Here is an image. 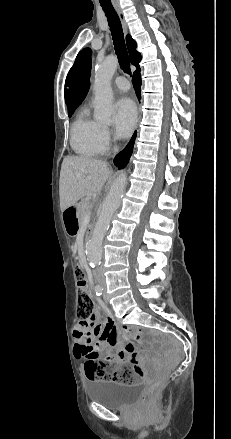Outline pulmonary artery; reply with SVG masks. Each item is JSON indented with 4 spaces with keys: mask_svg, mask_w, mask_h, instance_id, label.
I'll list each match as a JSON object with an SVG mask.
<instances>
[{
    "mask_svg": "<svg viewBox=\"0 0 231 439\" xmlns=\"http://www.w3.org/2000/svg\"><path fill=\"white\" fill-rule=\"evenodd\" d=\"M113 83L118 89L122 91H127L129 89V83L127 79L122 76L116 77Z\"/></svg>",
    "mask_w": 231,
    "mask_h": 439,
    "instance_id": "pulmonary-artery-1",
    "label": "pulmonary artery"
}]
</instances>
